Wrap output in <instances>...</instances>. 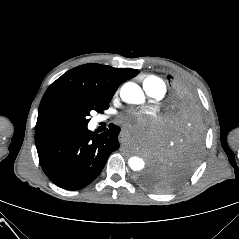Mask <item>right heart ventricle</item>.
<instances>
[{"label": "right heart ventricle", "mask_w": 239, "mask_h": 239, "mask_svg": "<svg viewBox=\"0 0 239 239\" xmlns=\"http://www.w3.org/2000/svg\"><path fill=\"white\" fill-rule=\"evenodd\" d=\"M159 82H162L161 79L154 75H147L142 78V83L144 88L151 87Z\"/></svg>", "instance_id": "right-heart-ventricle-1"}]
</instances>
